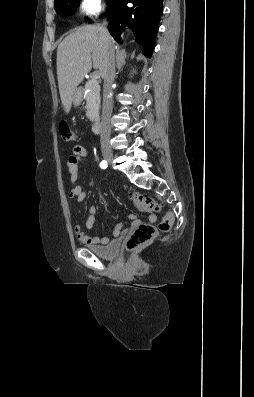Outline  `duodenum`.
Segmentation results:
<instances>
[{
    "label": "duodenum",
    "mask_w": 254,
    "mask_h": 397,
    "mask_svg": "<svg viewBox=\"0 0 254 397\" xmlns=\"http://www.w3.org/2000/svg\"><path fill=\"white\" fill-rule=\"evenodd\" d=\"M101 129V121L99 118H96L92 123V131L94 133H99Z\"/></svg>",
    "instance_id": "duodenum-1"
}]
</instances>
